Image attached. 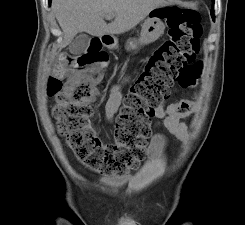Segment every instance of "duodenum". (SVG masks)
<instances>
[{"mask_svg": "<svg viewBox=\"0 0 245 225\" xmlns=\"http://www.w3.org/2000/svg\"><path fill=\"white\" fill-rule=\"evenodd\" d=\"M111 39H112V38H111L109 35H107V34H103V35L101 36V40H102L103 42L107 43V44H108L109 41H111Z\"/></svg>", "mask_w": 245, "mask_h": 225, "instance_id": "duodenum-1", "label": "duodenum"}]
</instances>
